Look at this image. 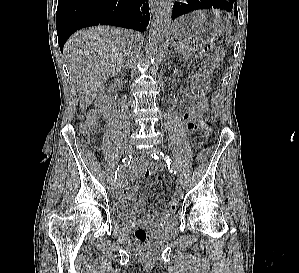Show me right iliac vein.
Here are the masks:
<instances>
[{"instance_id":"obj_1","label":"right iliac vein","mask_w":299,"mask_h":273,"mask_svg":"<svg viewBox=\"0 0 299 273\" xmlns=\"http://www.w3.org/2000/svg\"><path fill=\"white\" fill-rule=\"evenodd\" d=\"M134 153V144L133 143H129L126 148H125V155H131ZM117 182L115 179H111L110 182V190L114 191V189L116 188Z\"/></svg>"}]
</instances>
